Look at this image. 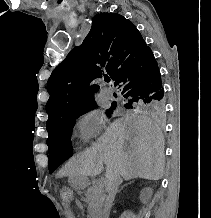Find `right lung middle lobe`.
Listing matches in <instances>:
<instances>
[{
  "mask_svg": "<svg viewBox=\"0 0 211 218\" xmlns=\"http://www.w3.org/2000/svg\"><path fill=\"white\" fill-rule=\"evenodd\" d=\"M118 106L126 109L146 108L155 112H162L165 109L164 99H143V98H125L121 101L112 102L111 108L107 110L110 115ZM96 107L95 101H90L78 107L74 111L60 118L57 123L48 131L49 137L47 145L49 148V172L52 173L62 162L69 158L71 153V134L76 118L83 113Z\"/></svg>",
  "mask_w": 211,
  "mask_h": 218,
  "instance_id": "1",
  "label": "right lung middle lobe"
}]
</instances>
